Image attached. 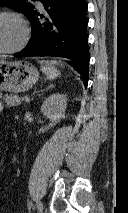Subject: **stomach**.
<instances>
[{"label":"stomach","instance_id":"obj_1","mask_svg":"<svg viewBox=\"0 0 128 213\" xmlns=\"http://www.w3.org/2000/svg\"><path fill=\"white\" fill-rule=\"evenodd\" d=\"M39 72L28 61L8 62L0 59V91L24 92L38 80Z\"/></svg>","mask_w":128,"mask_h":213}]
</instances>
